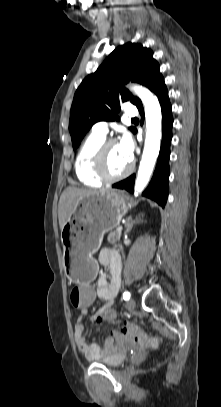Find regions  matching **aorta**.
Wrapping results in <instances>:
<instances>
[{
    "mask_svg": "<svg viewBox=\"0 0 221 407\" xmlns=\"http://www.w3.org/2000/svg\"><path fill=\"white\" fill-rule=\"evenodd\" d=\"M131 90L141 99L145 109L146 138L135 181L134 194L137 196L148 184L160 151L161 140V107L157 97L147 88L134 86Z\"/></svg>",
    "mask_w": 221,
    "mask_h": 407,
    "instance_id": "aorta-1",
    "label": "aorta"
}]
</instances>
